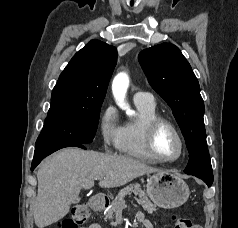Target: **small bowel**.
I'll list each match as a JSON object with an SVG mask.
<instances>
[{"mask_svg":"<svg viewBox=\"0 0 238 228\" xmlns=\"http://www.w3.org/2000/svg\"><path fill=\"white\" fill-rule=\"evenodd\" d=\"M137 219L145 226V228H154L152 223L148 219H146L142 213L137 214ZM86 228H101V227L97 223H92Z\"/></svg>","mask_w":238,"mask_h":228,"instance_id":"obj_1","label":"small bowel"}]
</instances>
